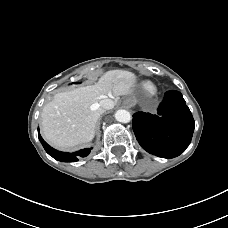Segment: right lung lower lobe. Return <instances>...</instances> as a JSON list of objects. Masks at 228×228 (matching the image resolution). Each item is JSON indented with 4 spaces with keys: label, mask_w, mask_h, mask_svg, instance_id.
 I'll use <instances>...</instances> for the list:
<instances>
[{
    "label": "right lung lower lobe",
    "mask_w": 228,
    "mask_h": 228,
    "mask_svg": "<svg viewBox=\"0 0 228 228\" xmlns=\"http://www.w3.org/2000/svg\"><path fill=\"white\" fill-rule=\"evenodd\" d=\"M38 136H39V140H40L41 144L43 145L45 151L50 156H52L54 159H56L58 161H62V162H76V161H78V159L80 157H86L92 149V148H86V149L77 151L75 153L61 152V151H57L54 148H52L51 146H49L40 136L39 130H38Z\"/></svg>",
    "instance_id": "right-lung-lower-lobe-1"
}]
</instances>
